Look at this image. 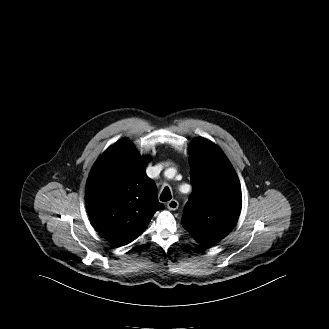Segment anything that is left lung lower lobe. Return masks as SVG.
<instances>
[{
	"label": "left lung lower lobe",
	"mask_w": 329,
	"mask_h": 329,
	"mask_svg": "<svg viewBox=\"0 0 329 329\" xmlns=\"http://www.w3.org/2000/svg\"><path fill=\"white\" fill-rule=\"evenodd\" d=\"M213 244H204L203 246L204 247H209V246H212Z\"/></svg>",
	"instance_id": "left-lung-lower-lobe-1"
}]
</instances>
